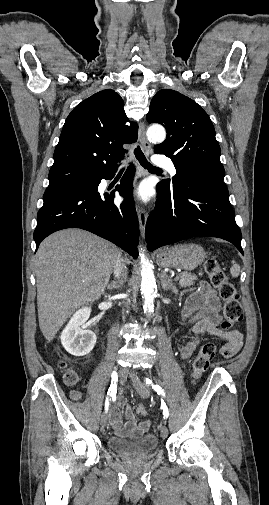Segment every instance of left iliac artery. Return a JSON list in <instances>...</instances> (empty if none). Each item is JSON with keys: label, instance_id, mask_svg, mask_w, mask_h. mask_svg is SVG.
Returning <instances> with one entry per match:
<instances>
[{"label": "left iliac artery", "instance_id": "obj_1", "mask_svg": "<svg viewBox=\"0 0 269 505\" xmlns=\"http://www.w3.org/2000/svg\"><path fill=\"white\" fill-rule=\"evenodd\" d=\"M152 388L154 389L155 392H157V394H159L163 397L165 396L164 390L159 385H152ZM161 408L163 409L164 419H167L169 416V410L163 400L161 403Z\"/></svg>", "mask_w": 269, "mask_h": 505}]
</instances>
